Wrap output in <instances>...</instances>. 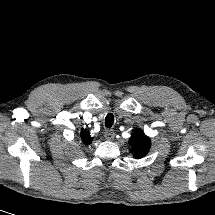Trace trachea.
<instances>
[{
  "label": "trachea",
  "mask_w": 215,
  "mask_h": 215,
  "mask_svg": "<svg viewBox=\"0 0 215 215\" xmlns=\"http://www.w3.org/2000/svg\"><path fill=\"white\" fill-rule=\"evenodd\" d=\"M113 123H114V116L113 114L109 113L105 118V126L107 128H111Z\"/></svg>",
  "instance_id": "obj_1"
}]
</instances>
